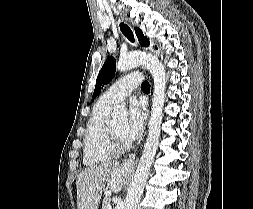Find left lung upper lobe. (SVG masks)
Listing matches in <instances>:
<instances>
[{
	"mask_svg": "<svg viewBox=\"0 0 253 209\" xmlns=\"http://www.w3.org/2000/svg\"><path fill=\"white\" fill-rule=\"evenodd\" d=\"M135 32H136L137 38L139 40V43L142 46L147 47L150 45L149 40L143 35L142 31L139 28L136 27ZM155 48H157V47L155 46ZM115 66H116V61H115L114 57L109 56L106 59L104 65L102 66V68L98 74L92 99H95L98 96V94L101 92L102 87L104 85L108 84L112 80V78L115 74V70H116Z\"/></svg>",
	"mask_w": 253,
	"mask_h": 209,
	"instance_id": "5c2ea615",
	"label": "left lung upper lobe"
}]
</instances>
